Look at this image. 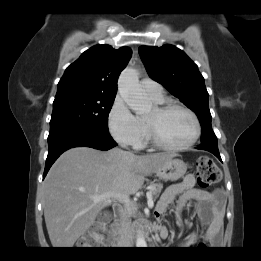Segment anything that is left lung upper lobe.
<instances>
[{
	"label": "left lung upper lobe",
	"mask_w": 261,
	"mask_h": 261,
	"mask_svg": "<svg viewBox=\"0 0 261 261\" xmlns=\"http://www.w3.org/2000/svg\"><path fill=\"white\" fill-rule=\"evenodd\" d=\"M138 51L150 78L195 112L201 124V142H217L211 126L209 95L197 65L173 45L140 46Z\"/></svg>",
	"instance_id": "1"
}]
</instances>
